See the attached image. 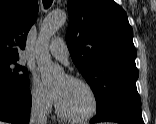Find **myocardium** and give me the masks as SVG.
I'll return each instance as SVG.
<instances>
[{
  "mask_svg": "<svg viewBox=\"0 0 156 124\" xmlns=\"http://www.w3.org/2000/svg\"><path fill=\"white\" fill-rule=\"evenodd\" d=\"M66 78L69 79L70 81L83 85L91 94L93 105H92L91 110L87 114L82 115V116H73V115L66 113L61 108V106L58 103L57 97L54 93V102H55V109H56L57 115L61 119L70 121V122H85V121L91 120L93 117H95L98 114L99 109H100V98H99L97 91L95 90V88L90 82H88L87 80L81 77L74 76V75H67Z\"/></svg>",
  "mask_w": 156,
  "mask_h": 124,
  "instance_id": "1",
  "label": "myocardium"
}]
</instances>
